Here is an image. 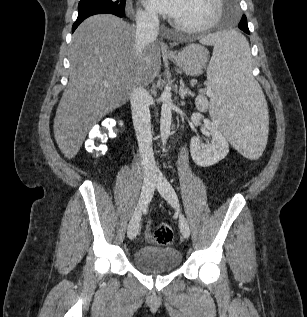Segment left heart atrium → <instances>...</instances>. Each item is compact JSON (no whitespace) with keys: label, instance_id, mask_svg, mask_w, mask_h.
<instances>
[{"label":"left heart atrium","instance_id":"39dd6f15","mask_svg":"<svg viewBox=\"0 0 307 317\" xmlns=\"http://www.w3.org/2000/svg\"><path fill=\"white\" fill-rule=\"evenodd\" d=\"M184 0H145L147 8L155 13L176 16Z\"/></svg>","mask_w":307,"mask_h":317}]
</instances>
